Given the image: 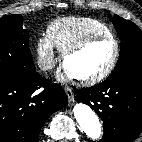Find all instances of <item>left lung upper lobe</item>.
Masks as SVG:
<instances>
[{
	"mask_svg": "<svg viewBox=\"0 0 142 142\" xmlns=\"http://www.w3.org/2000/svg\"><path fill=\"white\" fill-rule=\"evenodd\" d=\"M112 22L121 38V50L117 66L105 81L142 79V31L118 15Z\"/></svg>",
	"mask_w": 142,
	"mask_h": 142,
	"instance_id": "5c2ea615",
	"label": "left lung upper lobe"
}]
</instances>
